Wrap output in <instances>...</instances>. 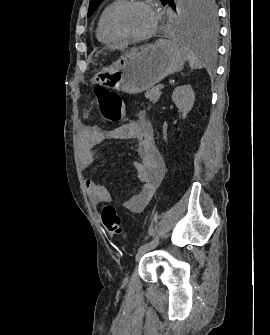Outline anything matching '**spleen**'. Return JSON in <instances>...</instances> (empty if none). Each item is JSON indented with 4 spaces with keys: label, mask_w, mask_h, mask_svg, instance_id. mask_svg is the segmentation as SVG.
<instances>
[{
    "label": "spleen",
    "mask_w": 270,
    "mask_h": 335,
    "mask_svg": "<svg viewBox=\"0 0 270 335\" xmlns=\"http://www.w3.org/2000/svg\"><path fill=\"white\" fill-rule=\"evenodd\" d=\"M184 54L187 56V60L191 66V68H198L201 64L200 60V52L198 50V44L195 46H188V48H184Z\"/></svg>",
    "instance_id": "spleen-1"
}]
</instances>
